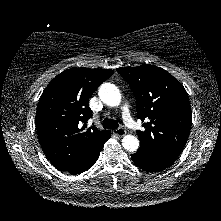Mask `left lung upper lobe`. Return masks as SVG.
<instances>
[{
  "instance_id": "5c2ea615",
  "label": "left lung upper lobe",
  "mask_w": 221,
  "mask_h": 221,
  "mask_svg": "<svg viewBox=\"0 0 221 221\" xmlns=\"http://www.w3.org/2000/svg\"><path fill=\"white\" fill-rule=\"evenodd\" d=\"M136 98L137 116L144 131H137L140 149L177 157L185 146L192 124L189 97L184 87L166 70L143 64L118 68Z\"/></svg>"
}]
</instances>
